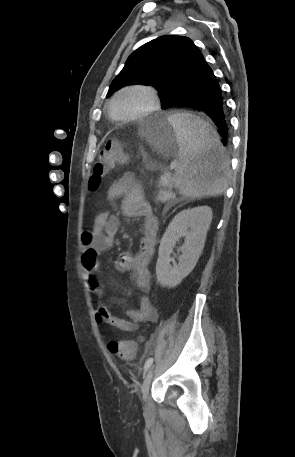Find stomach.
Here are the masks:
<instances>
[{
  "mask_svg": "<svg viewBox=\"0 0 295 457\" xmlns=\"http://www.w3.org/2000/svg\"><path fill=\"white\" fill-rule=\"evenodd\" d=\"M140 133L145 141L156 149L176 147L178 144L176 131L166 116L147 119L141 125Z\"/></svg>",
  "mask_w": 295,
  "mask_h": 457,
  "instance_id": "0dacf381",
  "label": "stomach"
}]
</instances>
